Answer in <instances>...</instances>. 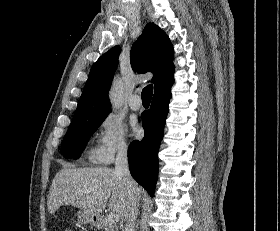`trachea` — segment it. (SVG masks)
I'll list each match as a JSON object with an SVG mask.
<instances>
[{"instance_id": "trachea-1", "label": "trachea", "mask_w": 280, "mask_h": 231, "mask_svg": "<svg viewBox=\"0 0 280 231\" xmlns=\"http://www.w3.org/2000/svg\"><path fill=\"white\" fill-rule=\"evenodd\" d=\"M152 93H153L152 85H148L143 89V91L141 93V98H142V102L145 106H149V104L151 102V98H152Z\"/></svg>"}]
</instances>
